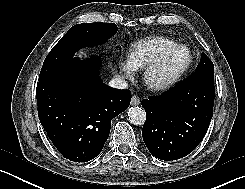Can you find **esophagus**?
<instances>
[{"instance_id":"esophagus-1","label":"esophagus","mask_w":245,"mask_h":189,"mask_svg":"<svg viewBox=\"0 0 245 189\" xmlns=\"http://www.w3.org/2000/svg\"><path fill=\"white\" fill-rule=\"evenodd\" d=\"M139 104H140V99L136 95L132 96L131 105L132 106H137Z\"/></svg>"}]
</instances>
